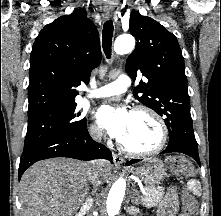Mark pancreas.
<instances>
[{"label":"pancreas","mask_w":221,"mask_h":216,"mask_svg":"<svg viewBox=\"0 0 221 216\" xmlns=\"http://www.w3.org/2000/svg\"><path fill=\"white\" fill-rule=\"evenodd\" d=\"M147 195L141 197L142 204L145 207H153L161 201L164 195V187L147 186Z\"/></svg>","instance_id":"cf45deb5"}]
</instances>
